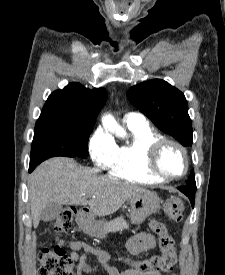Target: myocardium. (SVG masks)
Segmentation results:
<instances>
[{
    "label": "myocardium",
    "mask_w": 225,
    "mask_h": 275,
    "mask_svg": "<svg viewBox=\"0 0 225 275\" xmlns=\"http://www.w3.org/2000/svg\"><path fill=\"white\" fill-rule=\"evenodd\" d=\"M169 146L175 147L183 157L184 167L180 174L171 175V174L165 173L161 168V164H160L161 156L164 150ZM146 166H147V169L159 179L173 180V179L181 178L187 174L189 169V158H188L187 151L182 144L172 139L162 138L148 146L146 151Z\"/></svg>",
    "instance_id": "obj_1"
}]
</instances>
